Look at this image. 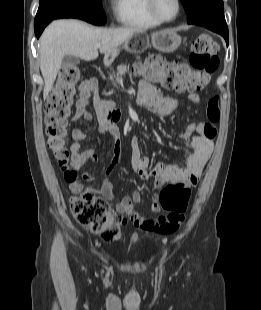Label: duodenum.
I'll return each instance as SVG.
<instances>
[{
    "instance_id": "1",
    "label": "duodenum",
    "mask_w": 261,
    "mask_h": 310,
    "mask_svg": "<svg viewBox=\"0 0 261 310\" xmlns=\"http://www.w3.org/2000/svg\"><path fill=\"white\" fill-rule=\"evenodd\" d=\"M120 119V112L117 109H113L108 113L107 122L110 124H115Z\"/></svg>"
}]
</instances>
